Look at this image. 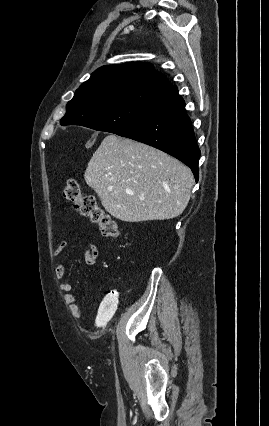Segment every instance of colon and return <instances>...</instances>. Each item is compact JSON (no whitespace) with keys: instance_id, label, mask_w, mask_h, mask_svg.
<instances>
[{"instance_id":"1","label":"colon","mask_w":269,"mask_h":426,"mask_svg":"<svg viewBox=\"0 0 269 426\" xmlns=\"http://www.w3.org/2000/svg\"><path fill=\"white\" fill-rule=\"evenodd\" d=\"M62 195L77 207L81 216L96 225L103 236L118 238L121 235L116 220L98 204L95 196L84 195L76 180L69 179L66 182Z\"/></svg>"}]
</instances>
